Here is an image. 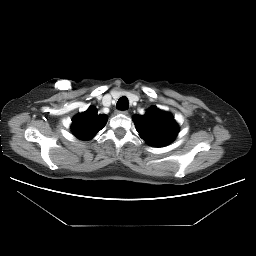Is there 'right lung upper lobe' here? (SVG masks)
Here are the masks:
<instances>
[{"label":"right lung upper lobe","mask_w":256,"mask_h":256,"mask_svg":"<svg viewBox=\"0 0 256 256\" xmlns=\"http://www.w3.org/2000/svg\"><path fill=\"white\" fill-rule=\"evenodd\" d=\"M98 110L90 106L85 112L74 117L71 129L76 137L82 140L92 138L107 123L106 115H98Z\"/></svg>","instance_id":"1"}]
</instances>
